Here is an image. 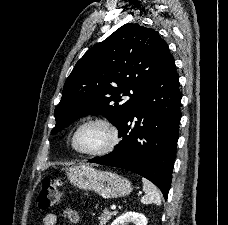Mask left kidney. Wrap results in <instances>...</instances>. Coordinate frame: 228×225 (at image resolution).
<instances>
[{
	"mask_svg": "<svg viewBox=\"0 0 228 225\" xmlns=\"http://www.w3.org/2000/svg\"><path fill=\"white\" fill-rule=\"evenodd\" d=\"M126 223H133V225H147V219L141 213H123L113 221L112 225H126Z\"/></svg>",
	"mask_w": 228,
	"mask_h": 225,
	"instance_id": "left-kidney-1",
	"label": "left kidney"
}]
</instances>
